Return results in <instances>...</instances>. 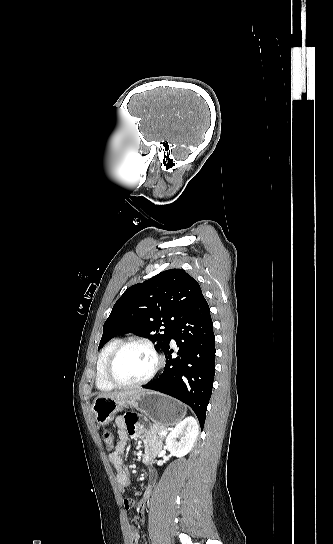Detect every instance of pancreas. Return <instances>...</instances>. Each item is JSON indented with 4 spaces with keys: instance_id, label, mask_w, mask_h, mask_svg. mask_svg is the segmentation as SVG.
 Masks as SVG:
<instances>
[{
    "instance_id": "cf45deb5",
    "label": "pancreas",
    "mask_w": 333,
    "mask_h": 544,
    "mask_svg": "<svg viewBox=\"0 0 333 544\" xmlns=\"http://www.w3.org/2000/svg\"><path fill=\"white\" fill-rule=\"evenodd\" d=\"M166 428L163 427V426H160V425H157V424H153V426L148 430L149 433H152V434H159L162 432V431H165ZM162 439L165 438V436H161Z\"/></svg>"
}]
</instances>
